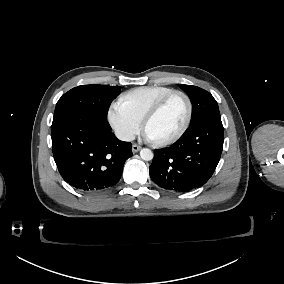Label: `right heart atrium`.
<instances>
[{
  "mask_svg": "<svg viewBox=\"0 0 284 284\" xmlns=\"http://www.w3.org/2000/svg\"><path fill=\"white\" fill-rule=\"evenodd\" d=\"M107 121L114 135L123 142L134 139L141 127V122L129 112L112 103L107 111Z\"/></svg>",
  "mask_w": 284,
  "mask_h": 284,
  "instance_id": "right-heart-atrium-1",
  "label": "right heart atrium"
}]
</instances>
